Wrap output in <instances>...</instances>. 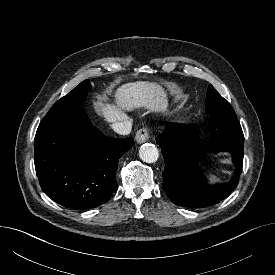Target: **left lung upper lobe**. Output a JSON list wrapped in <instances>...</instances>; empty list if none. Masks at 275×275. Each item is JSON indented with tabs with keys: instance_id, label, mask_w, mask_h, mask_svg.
I'll list each match as a JSON object with an SVG mask.
<instances>
[{
	"instance_id": "left-lung-upper-lobe-1",
	"label": "left lung upper lobe",
	"mask_w": 275,
	"mask_h": 275,
	"mask_svg": "<svg viewBox=\"0 0 275 275\" xmlns=\"http://www.w3.org/2000/svg\"><path fill=\"white\" fill-rule=\"evenodd\" d=\"M206 112L212 116V127H241L231 105L212 85L207 91Z\"/></svg>"
}]
</instances>
